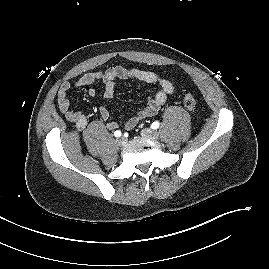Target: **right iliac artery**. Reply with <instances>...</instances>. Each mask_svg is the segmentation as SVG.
<instances>
[{"instance_id":"1","label":"right iliac artery","mask_w":269,"mask_h":269,"mask_svg":"<svg viewBox=\"0 0 269 269\" xmlns=\"http://www.w3.org/2000/svg\"><path fill=\"white\" fill-rule=\"evenodd\" d=\"M121 134H122V133H121L120 130H117V131L114 132V136H115V137H120Z\"/></svg>"}]
</instances>
